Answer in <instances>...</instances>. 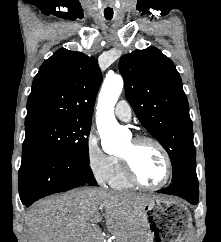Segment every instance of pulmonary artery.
I'll return each instance as SVG.
<instances>
[{
  "mask_svg": "<svg viewBox=\"0 0 221 242\" xmlns=\"http://www.w3.org/2000/svg\"><path fill=\"white\" fill-rule=\"evenodd\" d=\"M115 115L122 121H130L132 112L131 107L125 100H120L115 107Z\"/></svg>",
  "mask_w": 221,
  "mask_h": 242,
  "instance_id": "e3ab8cb5",
  "label": "pulmonary artery"
}]
</instances>
